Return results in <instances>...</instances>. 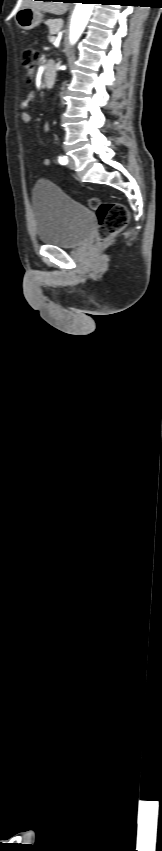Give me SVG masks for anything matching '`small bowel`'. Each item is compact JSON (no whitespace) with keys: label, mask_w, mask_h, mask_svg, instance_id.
Returning a JSON list of instances; mask_svg holds the SVG:
<instances>
[{"label":"small bowel","mask_w":162,"mask_h":851,"mask_svg":"<svg viewBox=\"0 0 162 851\" xmlns=\"http://www.w3.org/2000/svg\"><path fill=\"white\" fill-rule=\"evenodd\" d=\"M34 98H35V93L30 92L26 96H24L21 100L20 106L23 110L22 113H21V121L24 124H28L31 121V116H30V114L28 113L27 110L33 105ZM48 129H49V124H46L44 126V130L47 131ZM43 164L45 166H49L51 164V161L48 158H45L43 160Z\"/></svg>","instance_id":"obj_1"}]
</instances>
